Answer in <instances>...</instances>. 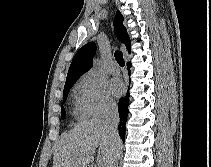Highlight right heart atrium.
<instances>
[{"label": "right heart atrium", "instance_id": "d8ad5b80", "mask_svg": "<svg viewBox=\"0 0 211 167\" xmlns=\"http://www.w3.org/2000/svg\"><path fill=\"white\" fill-rule=\"evenodd\" d=\"M76 91L78 104L86 116L102 117L115 109V102L107 93L104 80L93 71L80 77Z\"/></svg>", "mask_w": 211, "mask_h": 167}]
</instances>
